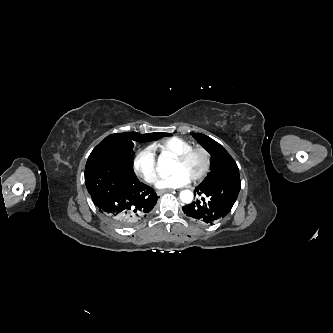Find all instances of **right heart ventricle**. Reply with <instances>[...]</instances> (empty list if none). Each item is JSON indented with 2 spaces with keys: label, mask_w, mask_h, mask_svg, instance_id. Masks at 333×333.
<instances>
[{
  "label": "right heart ventricle",
  "mask_w": 333,
  "mask_h": 333,
  "mask_svg": "<svg viewBox=\"0 0 333 333\" xmlns=\"http://www.w3.org/2000/svg\"><path fill=\"white\" fill-rule=\"evenodd\" d=\"M191 147V143L179 137L163 139L152 144V149L173 158Z\"/></svg>",
  "instance_id": "right-heart-ventricle-1"
}]
</instances>
